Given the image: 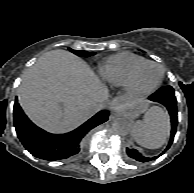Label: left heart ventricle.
Segmentation results:
<instances>
[{"label":"left heart ventricle","instance_id":"1","mask_svg":"<svg viewBox=\"0 0 194 193\" xmlns=\"http://www.w3.org/2000/svg\"><path fill=\"white\" fill-rule=\"evenodd\" d=\"M159 78L160 69L158 67L145 65L138 75V83L142 88H150L157 83Z\"/></svg>","mask_w":194,"mask_h":193}]
</instances>
